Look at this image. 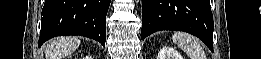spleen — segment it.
<instances>
[{"mask_svg":"<svg viewBox=\"0 0 261 59\" xmlns=\"http://www.w3.org/2000/svg\"><path fill=\"white\" fill-rule=\"evenodd\" d=\"M172 40L176 43L190 59H204L205 52L197 38L186 33L176 32L172 36Z\"/></svg>","mask_w":261,"mask_h":59,"instance_id":"3e777b00","label":"spleen"}]
</instances>
